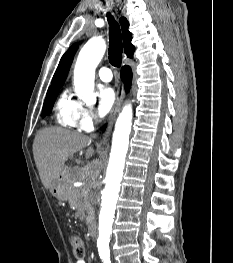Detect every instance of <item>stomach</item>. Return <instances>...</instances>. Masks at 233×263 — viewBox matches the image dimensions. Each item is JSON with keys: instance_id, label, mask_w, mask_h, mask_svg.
Here are the masks:
<instances>
[{"instance_id": "1", "label": "stomach", "mask_w": 233, "mask_h": 263, "mask_svg": "<svg viewBox=\"0 0 233 263\" xmlns=\"http://www.w3.org/2000/svg\"><path fill=\"white\" fill-rule=\"evenodd\" d=\"M51 194L59 200H66L68 194V170L64 169L50 190Z\"/></svg>"}]
</instances>
